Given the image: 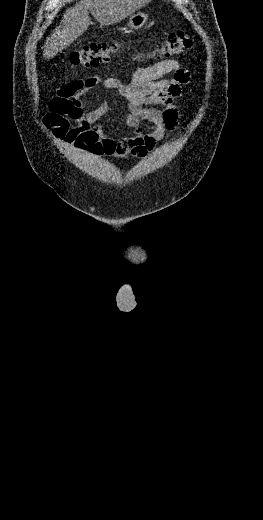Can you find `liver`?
Listing matches in <instances>:
<instances>
[{"label":"liver","mask_w":263,"mask_h":520,"mask_svg":"<svg viewBox=\"0 0 263 520\" xmlns=\"http://www.w3.org/2000/svg\"><path fill=\"white\" fill-rule=\"evenodd\" d=\"M151 0H81L66 9L60 25L46 40L43 57L51 59L68 47L93 24L89 12L101 25H112L132 15Z\"/></svg>","instance_id":"6515ba94"}]
</instances>
